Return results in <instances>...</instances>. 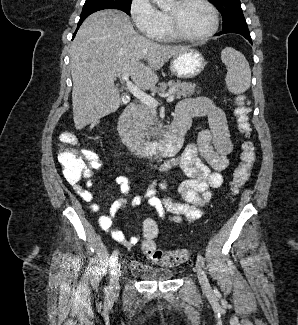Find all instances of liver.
<instances>
[{"instance_id": "obj_1", "label": "liver", "mask_w": 298, "mask_h": 325, "mask_svg": "<svg viewBox=\"0 0 298 325\" xmlns=\"http://www.w3.org/2000/svg\"><path fill=\"white\" fill-rule=\"evenodd\" d=\"M70 48L73 118L80 130L119 108L116 76L128 72L140 88H154L157 70L189 46L160 44L141 36L125 12L106 8L82 22Z\"/></svg>"}]
</instances>
